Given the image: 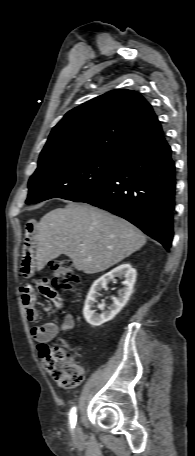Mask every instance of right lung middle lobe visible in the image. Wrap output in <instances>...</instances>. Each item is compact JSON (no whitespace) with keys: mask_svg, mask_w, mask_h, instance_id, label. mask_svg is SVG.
Returning <instances> with one entry per match:
<instances>
[{"mask_svg":"<svg viewBox=\"0 0 195 456\" xmlns=\"http://www.w3.org/2000/svg\"><path fill=\"white\" fill-rule=\"evenodd\" d=\"M120 165L98 158H65L38 164L29 180L26 203L51 198L73 200L111 178Z\"/></svg>","mask_w":195,"mask_h":456,"instance_id":"obj_1","label":"right lung middle lobe"}]
</instances>
